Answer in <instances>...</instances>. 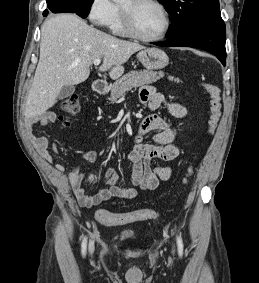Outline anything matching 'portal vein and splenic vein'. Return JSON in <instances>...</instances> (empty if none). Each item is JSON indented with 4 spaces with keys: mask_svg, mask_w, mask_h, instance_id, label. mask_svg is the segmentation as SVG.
I'll return each mask as SVG.
<instances>
[{
    "mask_svg": "<svg viewBox=\"0 0 259 283\" xmlns=\"http://www.w3.org/2000/svg\"><path fill=\"white\" fill-rule=\"evenodd\" d=\"M93 63L95 66H98L101 63V59H95Z\"/></svg>",
    "mask_w": 259,
    "mask_h": 283,
    "instance_id": "18ae733b",
    "label": "portal vein and splenic vein"
}]
</instances>
